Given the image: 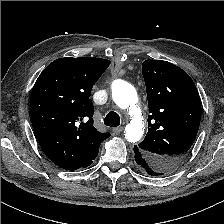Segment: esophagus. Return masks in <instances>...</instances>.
Here are the masks:
<instances>
[{
    "instance_id": "esophagus-1",
    "label": "esophagus",
    "mask_w": 224,
    "mask_h": 224,
    "mask_svg": "<svg viewBox=\"0 0 224 224\" xmlns=\"http://www.w3.org/2000/svg\"><path fill=\"white\" fill-rule=\"evenodd\" d=\"M122 131H123V127H116V128H113V133H114L115 135H119Z\"/></svg>"
}]
</instances>
